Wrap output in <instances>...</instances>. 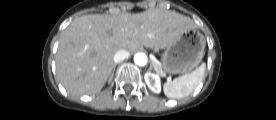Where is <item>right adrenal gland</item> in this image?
<instances>
[{
	"instance_id": "2a0ac1e0",
	"label": "right adrenal gland",
	"mask_w": 276,
	"mask_h": 120,
	"mask_svg": "<svg viewBox=\"0 0 276 120\" xmlns=\"http://www.w3.org/2000/svg\"><path fill=\"white\" fill-rule=\"evenodd\" d=\"M116 65H117V63H115L114 66H113V70H112V73H111V79L113 78Z\"/></svg>"
}]
</instances>
